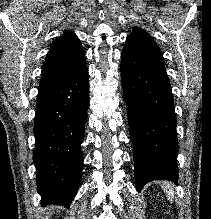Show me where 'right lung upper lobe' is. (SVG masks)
<instances>
[{"label":"right lung upper lobe","mask_w":211,"mask_h":219,"mask_svg":"<svg viewBox=\"0 0 211 219\" xmlns=\"http://www.w3.org/2000/svg\"><path fill=\"white\" fill-rule=\"evenodd\" d=\"M85 59L78 37L71 31L53 41L45 59L39 87L51 82Z\"/></svg>","instance_id":"right-lung-upper-lobe-1"}]
</instances>
